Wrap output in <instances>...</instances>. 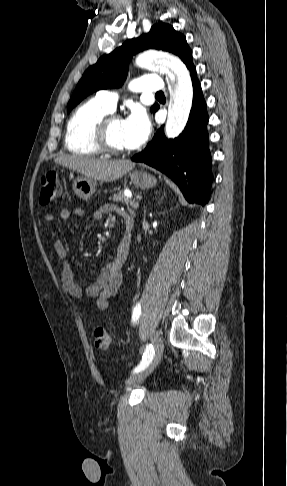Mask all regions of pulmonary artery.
<instances>
[{
	"mask_svg": "<svg viewBox=\"0 0 287 486\" xmlns=\"http://www.w3.org/2000/svg\"><path fill=\"white\" fill-rule=\"evenodd\" d=\"M163 88V82L157 75H145L133 82V89L137 92H160ZM96 98L112 111L115 109L118 95L113 91L101 90L96 94Z\"/></svg>",
	"mask_w": 287,
	"mask_h": 486,
	"instance_id": "obj_1",
	"label": "pulmonary artery"
}]
</instances>
